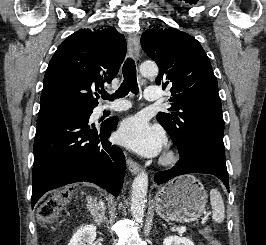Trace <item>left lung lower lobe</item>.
Listing matches in <instances>:
<instances>
[{"mask_svg":"<svg viewBox=\"0 0 266 245\" xmlns=\"http://www.w3.org/2000/svg\"><path fill=\"white\" fill-rule=\"evenodd\" d=\"M179 154L180 160L172 169L155 175L157 184L182 174L205 173L218 177L229 190L223 138L209 134L195 135L190 138L186 150L179 151Z\"/></svg>","mask_w":266,"mask_h":245,"instance_id":"0a47b994","label":"left lung lower lobe"}]
</instances>
